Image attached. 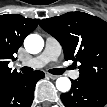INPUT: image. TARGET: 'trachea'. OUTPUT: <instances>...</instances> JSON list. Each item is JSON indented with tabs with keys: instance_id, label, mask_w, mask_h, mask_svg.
Wrapping results in <instances>:
<instances>
[{
	"instance_id": "3493384b",
	"label": "trachea",
	"mask_w": 107,
	"mask_h": 107,
	"mask_svg": "<svg viewBox=\"0 0 107 107\" xmlns=\"http://www.w3.org/2000/svg\"><path fill=\"white\" fill-rule=\"evenodd\" d=\"M21 71L23 73H28V72L33 71V69L30 68V67H22ZM63 72H64V69H61V68L60 69L55 68V69H50L49 70V73L54 74V75H61V74H63Z\"/></svg>"
}]
</instances>
